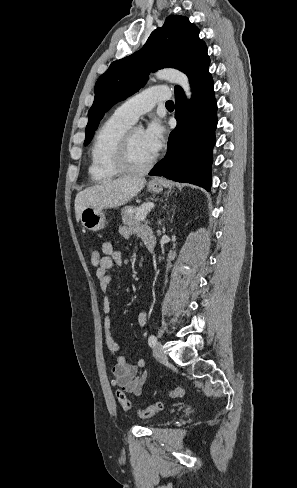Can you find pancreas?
Segmentation results:
<instances>
[{
    "label": "pancreas",
    "mask_w": 297,
    "mask_h": 488,
    "mask_svg": "<svg viewBox=\"0 0 297 488\" xmlns=\"http://www.w3.org/2000/svg\"><path fill=\"white\" fill-rule=\"evenodd\" d=\"M121 213L123 224L132 226L141 221L142 213L140 212V207L126 206L121 210Z\"/></svg>",
    "instance_id": "cf45deb5"
}]
</instances>
